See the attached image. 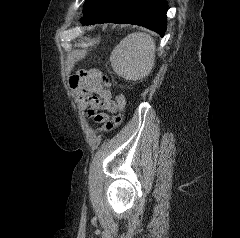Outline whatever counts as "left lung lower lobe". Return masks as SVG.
Returning a JSON list of instances; mask_svg holds the SVG:
<instances>
[{"instance_id": "0a47b994", "label": "left lung lower lobe", "mask_w": 240, "mask_h": 238, "mask_svg": "<svg viewBox=\"0 0 240 238\" xmlns=\"http://www.w3.org/2000/svg\"><path fill=\"white\" fill-rule=\"evenodd\" d=\"M167 9L165 0H92L80 21L83 25L107 22L136 24L163 36Z\"/></svg>"}]
</instances>
